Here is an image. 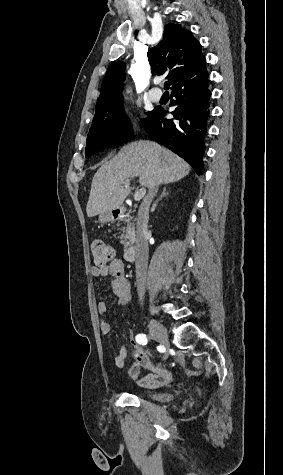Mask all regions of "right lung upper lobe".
I'll list each match as a JSON object with an SVG mask.
<instances>
[{
	"label": "right lung upper lobe",
	"mask_w": 283,
	"mask_h": 475,
	"mask_svg": "<svg viewBox=\"0 0 283 475\" xmlns=\"http://www.w3.org/2000/svg\"><path fill=\"white\" fill-rule=\"evenodd\" d=\"M153 74L167 75L171 85L206 67L200 43L179 24H166L161 42L148 51ZM125 64L117 61L107 69L96 108L122 104Z\"/></svg>",
	"instance_id": "cb5924a9"
}]
</instances>
